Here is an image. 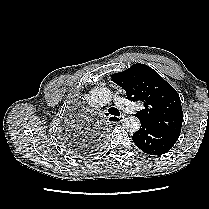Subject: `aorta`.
Listing matches in <instances>:
<instances>
[{
    "label": "aorta",
    "instance_id": "aorta-1",
    "mask_svg": "<svg viewBox=\"0 0 209 209\" xmlns=\"http://www.w3.org/2000/svg\"><path fill=\"white\" fill-rule=\"evenodd\" d=\"M112 98V92L106 87H96L90 91V99L97 105L107 104ZM140 120L135 116H128L123 120V127L129 132L140 129Z\"/></svg>",
    "mask_w": 209,
    "mask_h": 209
}]
</instances>
